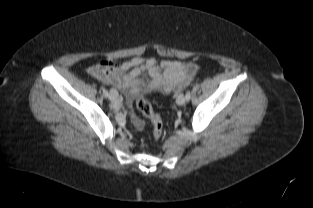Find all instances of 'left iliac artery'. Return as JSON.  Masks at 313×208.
Returning <instances> with one entry per match:
<instances>
[{
  "label": "left iliac artery",
  "instance_id": "left-iliac-artery-1",
  "mask_svg": "<svg viewBox=\"0 0 313 208\" xmlns=\"http://www.w3.org/2000/svg\"><path fill=\"white\" fill-rule=\"evenodd\" d=\"M186 100H190V98H191V94H190V91H187V93H186Z\"/></svg>",
  "mask_w": 313,
  "mask_h": 208
}]
</instances>
